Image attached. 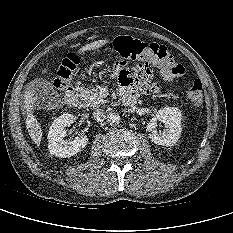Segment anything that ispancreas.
<instances>
[{
    "label": "pancreas",
    "mask_w": 233,
    "mask_h": 233,
    "mask_svg": "<svg viewBox=\"0 0 233 233\" xmlns=\"http://www.w3.org/2000/svg\"><path fill=\"white\" fill-rule=\"evenodd\" d=\"M78 91L80 99L83 100L84 107H99L107 102V100L99 96L97 89L89 90L81 87Z\"/></svg>",
    "instance_id": "1"
}]
</instances>
